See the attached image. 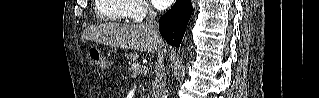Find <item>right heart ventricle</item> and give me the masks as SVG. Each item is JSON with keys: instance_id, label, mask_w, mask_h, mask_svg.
Listing matches in <instances>:
<instances>
[{"instance_id": "obj_1", "label": "right heart ventricle", "mask_w": 319, "mask_h": 98, "mask_svg": "<svg viewBox=\"0 0 319 98\" xmlns=\"http://www.w3.org/2000/svg\"><path fill=\"white\" fill-rule=\"evenodd\" d=\"M95 10L101 20L117 21L126 19L131 10V1L97 0Z\"/></svg>"}]
</instances>
